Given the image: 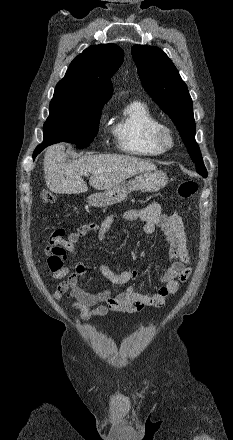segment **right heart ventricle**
<instances>
[{
    "mask_svg": "<svg viewBox=\"0 0 233 440\" xmlns=\"http://www.w3.org/2000/svg\"><path fill=\"white\" fill-rule=\"evenodd\" d=\"M160 123L151 109L142 101L126 105L115 117L111 133L118 148L131 156L152 157L164 152L152 139V131Z\"/></svg>",
    "mask_w": 233,
    "mask_h": 440,
    "instance_id": "1",
    "label": "right heart ventricle"
}]
</instances>
